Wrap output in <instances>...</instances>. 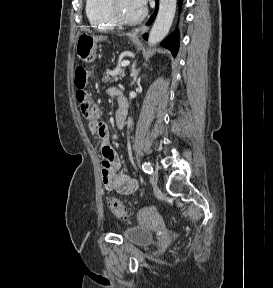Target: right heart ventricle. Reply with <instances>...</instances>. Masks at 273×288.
Instances as JSON below:
<instances>
[{"label":"right heart ventricle","instance_id":"right-heart-ventricle-1","mask_svg":"<svg viewBox=\"0 0 273 288\" xmlns=\"http://www.w3.org/2000/svg\"><path fill=\"white\" fill-rule=\"evenodd\" d=\"M86 15L91 26L96 29L110 30L116 26L108 17L106 0H86Z\"/></svg>","mask_w":273,"mask_h":288}]
</instances>
